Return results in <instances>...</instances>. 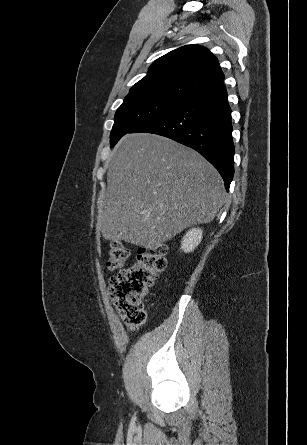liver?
Instances as JSON below:
<instances>
[{
    "label": "liver",
    "instance_id": "obj_1",
    "mask_svg": "<svg viewBox=\"0 0 307 445\" xmlns=\"http://www.w3.org/2000/svg\"><path fill=\"white\" fill-rule=\"evenodd\" d=\"M225 194L218 170L193 148L159 134H126L108 166L99 229L106 241L156 249L211 223Z\"/></svg>",
    "mask_w": 307,
    "mask_h": 445
}]
</instances>
